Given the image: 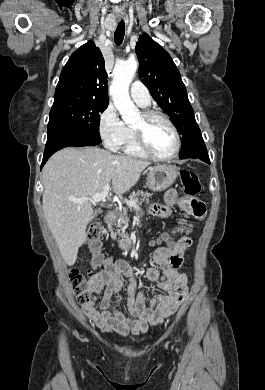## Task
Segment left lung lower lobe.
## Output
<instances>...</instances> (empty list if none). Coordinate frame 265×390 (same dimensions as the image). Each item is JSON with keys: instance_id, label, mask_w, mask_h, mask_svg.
Masks as SVG:
<instances>
[{"instance_id": "1", "label": "left lung lower lobe", "mask_w": 265, "mask_h": 390, "mask_svg": "<svg viewBox=\"0 0 265 390\" xmlns=\"http://www.w3.org/2000/svg\"><path fill=\"white\" fill-rule=\"evenodd\" d=\"M187 158H198V159H201L204 162L210 164V160H209V156H208L205 144L203 146H200L194 152H192Z\"/></svg>"}]
</instances>
